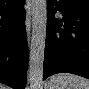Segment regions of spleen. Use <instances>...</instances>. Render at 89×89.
<instances>
[{"mask_svg": "<svg viewBox=\"0 0 89 89\" xmlns=\"http://www.w3.org/2000/svg\"><path fill=\"white\" fill-rule=\"evenodd\" d=\"M48 86L56 89H89V81L81 76L60 73L51 77Z\"/></svg>", "mask_w": 89, "mask_h": 89, "instance_id": "spleen-1", "label": "spleen"}]
</instances>
